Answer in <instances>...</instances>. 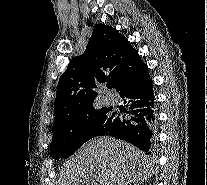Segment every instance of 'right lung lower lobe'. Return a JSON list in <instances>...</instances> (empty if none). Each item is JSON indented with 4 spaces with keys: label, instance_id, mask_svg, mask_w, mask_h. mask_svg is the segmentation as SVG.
<instances>
[{
    "label": "right lung lower lobe",
    "instance_id": "1",
    "mask_svg": "<svg viewBox=\"0 0 207 185\" xmlns=\"http://www.w3.org/2000/svg\"><path fill=\"white\" fill-rule=\"evenodd\" d=\"M152 80L148 71L142 76L120 84L116 90L124 99L126 108L115 111L112 122L105 125L98 135L123 139L143 151L154 142L156 110Z\"/></svg>",
    "mask_w": 207,
    "mask_h": 185
}]
</instances>
